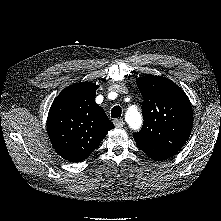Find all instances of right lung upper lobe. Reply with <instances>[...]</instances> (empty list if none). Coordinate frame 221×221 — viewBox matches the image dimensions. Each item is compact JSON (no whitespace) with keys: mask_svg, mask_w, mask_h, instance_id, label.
I'll list each match as a JSON object with an SVG mask.
<instances>
[{"mask_svg":"<svg viewBox=\"0 0 221 221\" xmlns=\"http://www.w3.org/2000/svg\"><path fill=\"white\" fill-rule=\"evenodd\" d=\"M99 86L74 83L56 97L48 114L47 131L55 151L74 162L85 160L114 128L95 102Z\"/></svg>","mask_w":221,"mask_h":221,"instance_id":"cb5924a9","label":"right lung upper lobe"}]
</instances>
